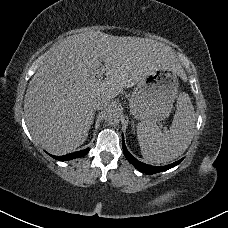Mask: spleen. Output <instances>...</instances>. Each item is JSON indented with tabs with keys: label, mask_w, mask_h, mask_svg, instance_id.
I'll list each match as a JSON object with an SVG mask.
<instances>
[{
	"label": "spleen",
	"mask_w": 228,
	"mask_h": 228,
	"mask_svg": "<svg viewBox=\"0 0 228 228\" xmlns=\"http://www.w3.org/2000/svg\"><path fill=\"white\" fill-rule=\"evenodd\" d=\"M137 139L142 157L150 164H163L182 155L190 145L195 129V112L186 93L177 99V111L169 130L162 133L156 124L138 123Z\"/></svg>",
	"instance_id": "obj_1"
}]
</instances>
